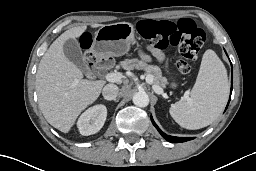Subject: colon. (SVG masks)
<instances>
[{
    "instance_id": "colon-1",
    "label": "colon",
    "mask_w": 256,
    "mask_h": 171,
    "mask_svg": "<svg viewBox=\"0 0 256 171\" xmlns=\"http://www.w3.org/2000/svg\"><path fill=\"white\" fill-rule=\"evenodd\" d=\"M137 28L140 36L149 41L154 48L164 49L169 45L177 46L180 58L176 61V67L182 73L190 72L191 63L197 58L205 42L204 31L198 28L190 18L179 20L143 19L139 21ZM81 42L86 48L85 60L93 73L95 57L89 50L91 36L87 33L83 34Z\"/></svg>"
}]
</instances>
